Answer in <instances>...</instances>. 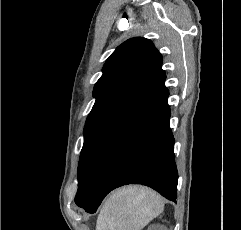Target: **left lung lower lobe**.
Returning <instances> with one entry per match:
<instances>
[{
    "label": "left lung lower lobe",
    "mask_w": 241,
    "mask_h": 230,
    "mask_svg": "<svg viewBox=\"0 0 241 230\" xmlns=\"http://www.w3.org/2000/svg\"><path fill=\"white\" fill-rule=\"evenodd\" d=\"M166 87L91 161L76 204L95 213L103 198L125 184L147 185L169 200L177 198L178 172L169 126Z\"/></svg>",
    "instance_id": "1"
}]
</instances>
